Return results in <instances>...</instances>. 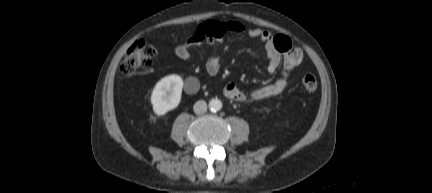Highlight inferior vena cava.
I'll return each mask as SVG.
<instances>
[{
	"mask_svg": "<svg viewBox=\"0 0 432 193\" xmlns=\"http://www.w3.org/2000/svg\"><path fill=\"white\" fill-rule=\"evenodd\" d=\"M193 109L196 114H202L207 110V103L204 100H199L194 104Z\"/></svg>",
	"mask_w": 432,
	"mask_h": 193,
	"instance_id": "inferior-vena-cava-1",
	"label": "inferior vena cava"
}]
</instances>
